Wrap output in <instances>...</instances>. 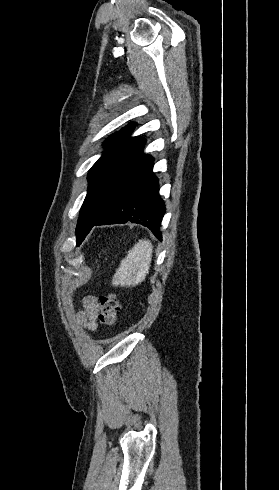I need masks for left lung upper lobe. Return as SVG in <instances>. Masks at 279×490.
I'll return each instance as SVG.
<instances>
[{
    "mask_svg": "<svg viewBox=\"0 0 279 490\" xmlns=\"http://www.w3.org/2000/svg\"><path fill=\"white\" fill-rule=\"evenodd\" d=\"M136 123H130L105 141V152L91 168L89 187L76 227L79 246L88 230L113 206L121 187L144 156L142 137H128Z\"/></svg>",
    "mask_w": 279,
    "mask_h": 490,
    "instance_id": "5c2ea615",
    "label": "left lung upper lobe"
}]
</instances>
